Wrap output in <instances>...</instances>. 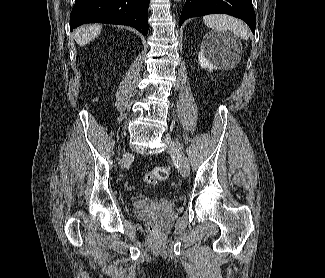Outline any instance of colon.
I'll list each match as a JSON object with an SVG mask.
<instances>
[{
  "mask_svg": "<svg viewBox=\"0 0 325 278\" xmlns=\"http://www.w3.org/2000/svg\"><path fill=\"white\" fill-rule=\"evenodd\" d=\"M170 176V168L167 166H157L148 171L145 175V182L147 184H154L156 181H164ZM148 227L152 232L158 231V224L154 219L148 223Z\"/></svg>",
  "mask_w": 325,
  "mask_h": 278,
  "instance_id": "1",
  "label": "colon"
}]
</instances>
